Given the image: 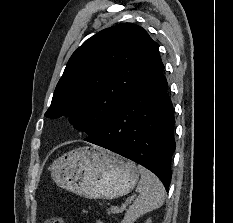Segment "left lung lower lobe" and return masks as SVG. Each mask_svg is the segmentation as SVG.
Returning a JSON list of instances; mask_svg holds the SVG:
<instances>
[{"label": "left lung lower lobe", "instance_id": "left-lung-lower-lobe-1", "mask_svg": "<svg viewBox=\"0 0 233 223\" xmlns=\"http://www.w3.org/2000/svg\"><path fill=\"white\" fill-rule=\"evenodd\" d=\"M163 69L158 54L136 90L89 142L146 167L168 191L175 119Z\"/></svg>", "mask_w": 233, "mask_h": 223}]
</instances>
